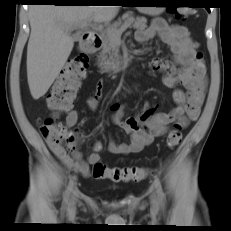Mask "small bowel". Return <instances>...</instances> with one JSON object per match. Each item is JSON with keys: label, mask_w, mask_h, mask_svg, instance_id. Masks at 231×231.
<instances>
[{"label": "small bowel", "mask_w": 231, "mask_h": 231, "mask_svg": "<svg viewBox=\"0 0 231 231\" xmlns=\"http://www.w3.org/2000/svg\"><path fill=\"white\" fill-rule=\"evenodd\" d=\"M158 36L167 45L173 57L171 61L153 60L150 68L164 73L163 83L173 90V100L176 107L169 112H157L156 107L145 104L136 117L124 118L125 106L114 103L111 106L112 120L130 135L128 143L116 144L111 141L108 146L109 152L118 155H127L140 152L146 145L151 144L155 138L166 134L169 125L177 123L180 127L187 126L200 114L206 89V70L203 61L197 56V45L190 36L188 29L182 25H169L164 19L156 18L150 27L136 34L139 43H145ZM182 86L186 91L179 88ZM100 86L98 87V91ZM89 107L95 110L98 106V94L89 99ZM78 113L70 110L67 113L65 126L71 128L78 122ZM51 151L68 168L89 176V165L100 160V151L103 146L96 142L87 160L74 146L70 147V153L62 146L47 140Z\"/></svg>", "instance_id": "c3829d8e"}]
</instances>
